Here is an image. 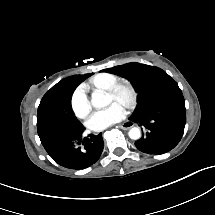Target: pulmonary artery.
<instances>
[{"label":"pulmonary artery","instance_id":"obj_1","mask_svg":"<svg viewBox=\"0 0 215 215\" xmlns=\"http://www.w3.org/2000/svg\"><path fill=\"white\" fill-rule=\"evenodd\" d=\"M114 82H115V79L113 75L106 73V74H100L93 77L91 84L93 88L100 90V89L109 88L113 86Z\"/></svg>","mask_w":215,"mask_h":215}]
</instances>
